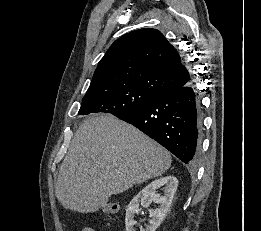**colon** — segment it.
Here are the masks:
<instances>
[{"mask_svg":"<svg viewBox=\"0 0 261 231\" xmlns=\"http://www.w3.org/2000/svg\"><path fill=\"white\" fill-rule=\"evenodd\" d=\"M102 213L104 214H113L117 212L115 204L109 203L101 208Z\"/></svg>","mask_w":261,"mask_h":231,"instance_id":"1","label":"colon"}]
</instances>
